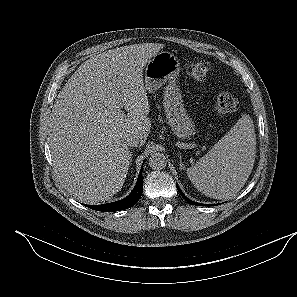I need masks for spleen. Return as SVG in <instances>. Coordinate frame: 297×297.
<instances>
[{"label": "spleen", "instance_id": "spleen-1", "mask_svg": "<svg viewBox=\"0 0 297 297\" xmlns=\"http://www.w3.org/2000/svg\"><path fill=\"white\" fill-rule=\"evenodd\" d=\"M256 156L252 119L244 114L213 148L187 169L192 184L214 199H230L246 183Z\"/></svg>", "mask_w": 297, "mask_h": 297}]
</instances>
